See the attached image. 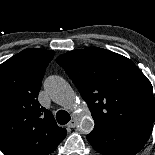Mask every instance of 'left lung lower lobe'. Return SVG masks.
<instances>
[{"instance_id":"obj_1","label":"left lung lower lobe","mask_w":155,"mask_h":155,"mask_svg":"<svg viewBox=\"0 0 155 155\" xmlns=\"http://www.w3.org/2000/svg\"><path fill=\"white\" fill-rule=\"evenodd\" d=\"M152 127L151 123L95 126L87 139L103 155H135L144 147Z\"/></svg>"}]
</instances>
